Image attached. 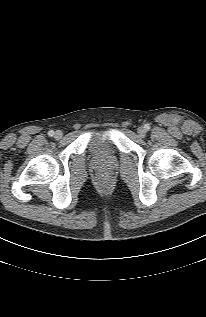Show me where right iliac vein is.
<instances>
[{
    "label": "right iliac vein",
    "instance_id": "1",
    "mask_svg": "<svg viewBox=\"0 0 206 317\" xmlns=\"http://www.w3.org/2000/svg\"><path fill=\"white\" fill-rule=\"evenodd\" d=\"M62 136H63V133H62V131H60V130H57V131L55 132V134H54V137H55L57 140L61 139Z\"/></svg>",
    "mask_w": 206,
    "mask_h": 317
}]
</instances>
